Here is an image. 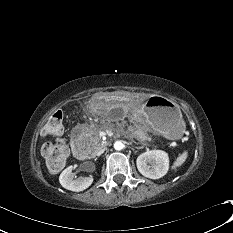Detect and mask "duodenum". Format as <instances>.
<instances>
[{"instance_id": "1", "label": "duodenum", "mask_w": 233, "mask_h": 233, "mask_svg": "<svg viewBox=\"0 0 233 233\" xmlns=\"http://www.w3.org/2000/svg\"><path fill=\"white\" fill-rule=\"evenodd\" d=\"M72 148L75 153V155L80 159H87L88 158V151L86 146L79 141H73L72 142Z\"/></svg>"}]
</instances>
